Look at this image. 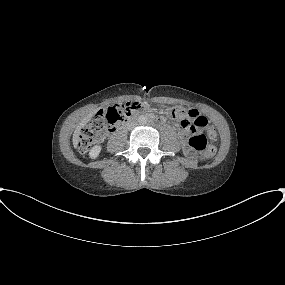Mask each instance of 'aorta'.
Here are the masks:
<instances>
[{
    "label": "aorta",
    "instance_id": "aorta-1",
    "mask_svg": "<svg viewBox=\"0 0 285 285\" xmlns=\"http://www.w3.org/2000/svg\"><path fill=\"white\" fill-rule=\"evenodd\" d=\"M140 124H146L147 123V117L146 116H140L138 119Z\"/></svg>",
    "mask_w": 285,
    "mask_h": 285
}]
</instances>
